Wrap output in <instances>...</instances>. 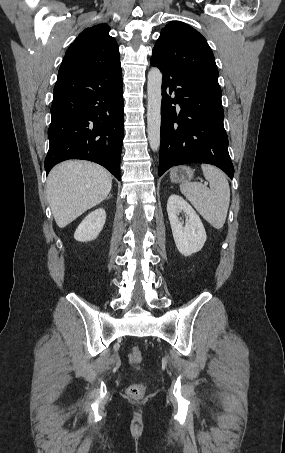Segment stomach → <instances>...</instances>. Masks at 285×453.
<instances>
[{
    "label": "stomach",
    "instance_id": "stomach-1",
    "mask_svg": "<svg viewBox=\"0 0 285 453\" xmlns=\"http://www.w3.org/2000/svg\"><path fill=\"white\" fill-rule=\"evenodd\" d=\"M194 171L188 166H178L171 170L170 179L173 183H189Z\"/></svg>",
    "mask_w": 285,
    "mask_h": 453
}]
</instances>
